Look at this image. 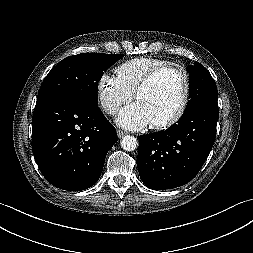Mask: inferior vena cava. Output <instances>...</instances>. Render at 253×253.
I'll use <instances>...</instances> for the list:
<instances>
[{"mask_svg":"<svg viewBox=\"0 0 253 253\" xmlns=\"http://www.w3.org/2000/svg\"><path fill=\"white\" fill-rule=\"evenodd\" d=\"M106 112L108 114L114 115V114H116L118 112V108H117V106L115 104H111V105L107 106Z\"/></svg>","mask_w":253,"mask_h":253,"instance_id":"1","label":"inferior vena cava"}]
</instances>
